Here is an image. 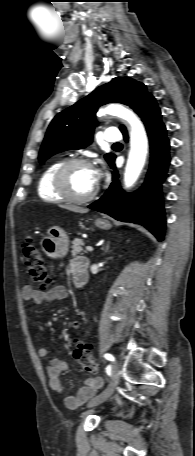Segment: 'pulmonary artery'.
I'll return each instance as SVG.
<instances>
[{"label":"pulmonary artery","instance_id":"e3ab8cb5","mask_svg":"<svg viewBox=\"0 0 195 456\" xmlns=\"http://www.w3.org/2000/svg\"><path fill=\"white\" fill-rule=\"evenodd\" d=\"M122 139V135L117 128L111 127L105 132V140L108 142H119Z\"/></svg>","mask_w":195,"mask_h":456}]
</instances>
